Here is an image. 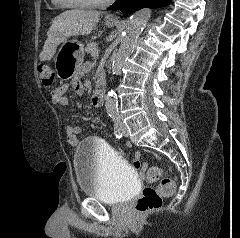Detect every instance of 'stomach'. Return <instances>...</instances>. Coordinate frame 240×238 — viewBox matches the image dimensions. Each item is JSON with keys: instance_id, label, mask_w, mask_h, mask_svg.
<instances>
[{"instance_id": "obj_1", "label": "stomach", "mask_w": 240, "mask_h": 238, "mask_svg": "<svg viewBox=\"0 0 240 238\" xmlns=\"http://www.w3.org/2000/svg\"><path fill=\"white\" fill-rule=\"evenodd\" d=\"M116 23H107L114 26ZM84 59L83 45L76 39H66L54 58L55 73L63 80L71 78L81 66Z\"/></svg>"}]
</instances>
